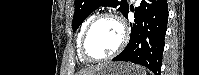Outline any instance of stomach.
Returning a JSON list of instances; mask_svg holds the SVG:
<instances>
[{"label": "stomach", "mask_w": 199, "mask_h": 75, "mask_svg": "<svg viewBox=\"0 0 199 75\" xmlns=\"http://www.w3.org/2000/svg\"><path fill=\"white\" fill-rule=\"evenodd\" d=\"M93 75H145V71L130 63L114 62L103 65Z\"/></svg>", "instance_id": "1"}]
</instances>
